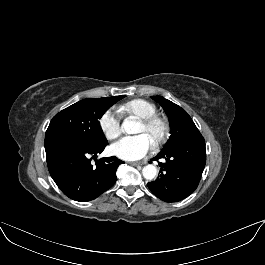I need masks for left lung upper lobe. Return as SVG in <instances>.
<instances>
[{
    "mask_svg": "<svg viewBox=\"0 0 265 265\" xmlns=\"http://www.w3.org/2000/svg\"><path fill=\"white\" fill-rule=\"evenodd\" d=\"M152 98L164 108L171 123V136L161 151L202 136L184 109L162 96Z\"/></svg>",
    "mask_w": 265,
    "mask_h": 265,
    "instance_id": "5c2ea615",
    "label": "left lung upper lobe"
}]
</instances>
